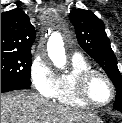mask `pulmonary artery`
Listing matches in <instances>:
<instances>
[{"label":"pulmonary artery","mask_w":122,"mask_h":123,"mask_svg":"<svg viewBox=\"0 0 122 123\" xmlns=\"http://www.w3.org/2000/svg\"><path fill=\"white\" fill-rule=\"evenodd\" d=\"M76 56H81L78 52H75L74 54H73V57H76Z\"/></svg>","instance_id":"obj_1"}]
</instances>
